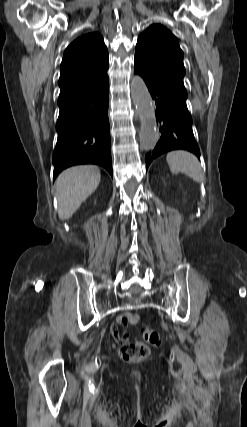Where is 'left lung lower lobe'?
Wrapping results in <instances>:
<instances>
[{"mask_svg": "<svg viewBox=\"0 0 247 427\" xmlns=\"http://www.w3.org/2000/svg\"><path fill=\"white\" fill-rule=\"evenodd\" d=\"M134 73L143 77L152 98L156 101L160 139L156 147L145 156L146 169L153 159L171 150H187L200 158L199 147L192 131V118L186 106L187 96L149 75L136 63Z\"/></svg>", "mask_w": 247, "mask_h": 427, "instance_id": "0a47b994", "label": "left lung lower lobe"}]
</instances>
